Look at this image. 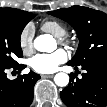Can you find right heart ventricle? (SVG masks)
Instances as JSON below:
<instances>
[{
    "instance_id": "1",
    "label": "right heart ventricle",
    "mask_w": 107,
    "mask_h": 107,
    "mask_svg": "<svg viewBox=\"0 0 107 107\" xmlns=\"http://www.w3.org/2000/svg\"><path fill=\"white\" fill-rule=\"evenodd\" d=\"M42 29L56 38L62 37L67 33V27L57 20H47L43 22Z\"/></svg>"
}]
</instances>
